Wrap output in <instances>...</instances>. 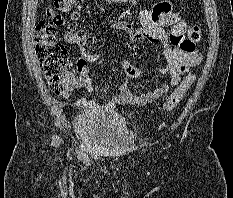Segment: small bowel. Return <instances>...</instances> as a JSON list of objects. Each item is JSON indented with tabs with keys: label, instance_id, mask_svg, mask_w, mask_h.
<instances>
[{
	"label": "small bowel",
	"instance_id": "c3829d8e",
	"mask_svg": "<svg viewBox=\"0 0 233 198\" xmlns=\"http://www.w3.org/2000/svg\"><path fill=\"white\" fill-rule=\"evenodd\" d=\"M112 28L117 31H123L134 42L161 44L163 46L164 64L157 66L154 72L161 75H169L170 82L168 84L161 83L147 92L135 94L130 90L128 81L130 79H139L145 73L127 60H121L120 65L125 72L126 81L121 84L119 94L110 96L106 103L82 97L73 100V104L80 109L113 112L121 105L153 103L164 96L171 87L179 84L182 75L180 67L184 62L192 58L201 59V55L195 48L187 49L184 47L189 27L177 13L173 12L171 4L167 1L157 3L151 11L142 8L139 12L138 25L117 21L112 24ZM93 43L94 40L90 37L85 47L90 48ZM98 60V54L88 53L84 48L81 50V57L77 63L79 75L75 83L76 87L84 86L91 94L96 92L92 86L95 73L89 70L88 64L95 63ZM63 95L65 98H70L68 92Z\"/></svg>",
	"mask_w": 233,
	"mask_h": 198
}]
</instances>
